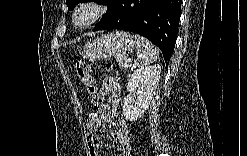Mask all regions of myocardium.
I'll return each mask as SVG.
<instances>
[{"instance_id":"f54148a6","label":"myocardium","mask_w":247,"mask_h":156,"mask_svg":"<svg viewBox=\"0 0 247 156\" xmlns=\"http://www.w3.org/2000/svg\"><path fill=\"white\" fill-rule=\"evenodd\" d=\"M84 9H90L92 11L91 17L83 22L79 23L78 22V15L83 11ZM106 12L105 6L98 1H84L81 2L73 11L72 14V23L75 27L77 28H86L96 21H98Z\"/></svg>"}]
</instances>
